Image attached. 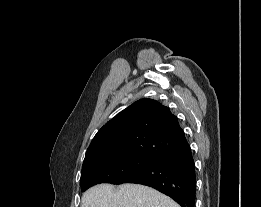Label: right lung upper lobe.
I'll return each instance as SVG.
<instances>
[{"mask_svg":"<svg viewBox=\"0 0 261 207\" xmlns=\"http://www.w3.org/2000/svg\"><path fill=\"white\" fill-rule=\"evenodd\" d=\"M188 145L177 117L169 108L144 98L121 111L97 132L86 151L83 166L127 156L160 159Z\"/></svg>","mask_w":261,"mask_h":207,"instance_id":"cb5924a9","label":"right lung upper lobe"}]
</instances>
